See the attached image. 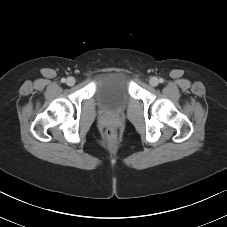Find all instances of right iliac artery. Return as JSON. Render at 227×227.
Masks as SVG:
<instances>
[{
  "instance_id": "right-iliac-artery-1",
  "label": "right iliac artery",
  "mask_w": 227,
  "mask_h": 227,
  "mask_svg": "<svg viewBox=\"0 0 227 227\" xmlns=\"http://www.w3.org/2000/svg\"><path fill=\"white\" fill-rule=\"evenodd\" d=\"M61 82L65 83L66 82V79L65 78H62L61 79Z\"/></svg>"
}]
</instances>
